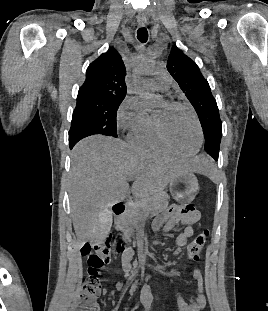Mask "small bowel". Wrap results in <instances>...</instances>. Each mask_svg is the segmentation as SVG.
I'll use <instances>...</instances> for the list:
<instances>
[{
    "label": "small bowel",
    "mask_w": 268,
    "mask_h": 311,
    "mask_svg": "<svg viewBox=\"0 0 268 311\" xmlns=\"http://www.w3.org/2000/svg\"><path fill=\"white\" fill-rule=\"evenodd\" d=\"M200 219V214L193 209L192 206H186L185 209L171 208L165 214L158 217L154 223L153 228L156 231L164 230L168 232L176 225L183 227L182 232L176 237L177 250L175 255H179L186 247L188 240L193 236V225ZM134 250L132 247L124 249L122 254V270L126 276L132 273V258ZM193 279L198 286V295L186 301L180 293L177 294V302L180 311H200L205 307L206 295L204 289L203 275L200 270L196 269L193 272ZM117 289L121 290L122 285L117 284ZM140 301L145 311H150L153 303V296L150 287L145 285L140 292Z\"/></svg>",
    "instance_id": "obj_1"
}]
</instances>
